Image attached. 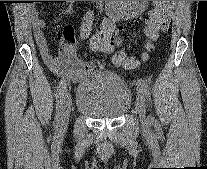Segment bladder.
I'll return each mask as SVG.
<instances>
[{"label":"bladder","mask_w":207,"mask_h":169,"mask_svg":"<svg viewBox=\"0 0 207 169\" xmlns=\"http://www.w3.org/2000/svg\"><path fill=\"white\" fill-rule=\"evenodd\" d=\"M131 104L130 87L120 77L107 71L83 80L76 89V109L94 118L121 117Z\"/></svg>","instance_id":"1"}]
</instances>
